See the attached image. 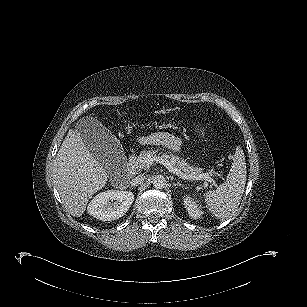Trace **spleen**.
Segmentation results:
<instances>
[{"label":"spleen","instance_id":"3e777b00","mask_svg":"<svg viewBox=\"0 0 307 307\" xmlns=\"http://www.w3.org/2000/svg\"><path fill=\"white\" fill-rule=\"evenodd\" d=\"M246 172L244 153L238 149L226 181L204 195L206 207L214 216L224 220L237 211L244 193Z\"/></svg>","mask_w":307,"mask_h":307}]
</instances>
